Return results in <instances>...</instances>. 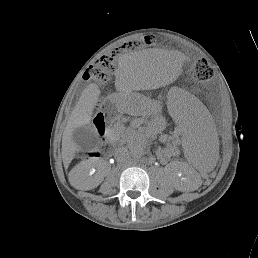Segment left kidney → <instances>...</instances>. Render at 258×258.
Wrapping results in <instances>:
<instances>
[{
	"instance_id": "5707ae66",
	"label": "left kidney",
	"mask_w": 258,
	"mask_h": 258,
	"mask_svg": "<svg viewBox=\"0 0 258 258\" xmlns=\"http://www.w3.org/2000/svg\"><path fill=\"white\" fill-rule=\"evenodd\" d=\"M182 176L183 179H178L175 182V188L181 192L193 191L195 189L194 173H191L190 169L184 166Z\"/></svg>"
}]
</instances>
